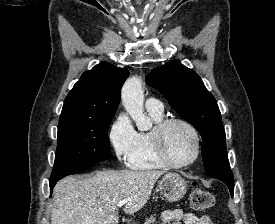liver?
Here are the masks:
<instances>
[{
  "instance_id": "liver-1",
  "label": "liver",
  "mask_w": 275,
  "mask_h": 224,
  "mask_svg": "<svg viewBox=\"0 0 275 224\" xmlns=\"http://www.w3.org/2000/svg\"><path fill=\"white\" fill-rule=\"evenodd\" d=\"M164 171H99L90 178L66 177L54 187L51 224H118L117 204L134 214L148 201Z\"/></svg>"
}]
</instances>
